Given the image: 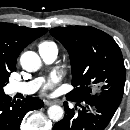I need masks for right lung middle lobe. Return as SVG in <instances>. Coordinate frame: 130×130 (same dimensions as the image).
<instances>
[{
    "instance_id": "dd1d6c3e",
    "label": "right lung middle lobe",
    "mask_w": 130,
    "mask_h": 130,
    "mask_svg": "<svg viewBox=\"0 0 130 130\" xmlns=\"http://www.w3.org/2000/svg\"><path fill=\"white\" fill-rule=\"evenodd\" d=\"M9 73L3 69H0V92L3 91V87L8 83Z\"/></svg>"
}]
</instances>
